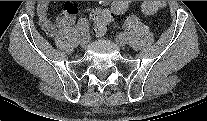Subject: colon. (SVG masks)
Masks as SVG:
<instances>
[{
  "mask_svg": "<svg viewBox=\"0 0 207 121\" xmlns=\"http://www.w3.org/2000/svg\"><path fill=\"white\" fill-rule=\"evenodd\" d=\"M127 7L126 1H113L110 3V7L95 8L90 14L95 32L103 33L114 15L123 13ZM164 7L165 2L163 1H145L142 3L141 9L144 14L152 15Z\"/></svg>",
  "mask_w": 207,
  "mask_h": 121,
  "instance_id": "obj_1",
  "label": "colon"
}]
</instances>
